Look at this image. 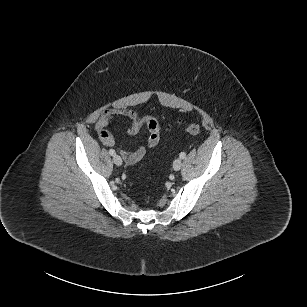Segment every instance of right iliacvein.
I'll use <instances>...</instances> for the list:
<instances>
[{"instance_id": "1", "label": "right iliac vein", "mask_w": 307, "mask_h": 307, "mask_svg": "<svg viewBox=\"0 0 307 307\" xmlns=\"http://www.w3.org/2000/svg\"><path fill=\"white\" fill-rule=\"evenodd\" d=\"M113 162L115 165L117 166H121L122 165V158L119 155H114L113 156Z\"/></svg>"}]
</instances>
